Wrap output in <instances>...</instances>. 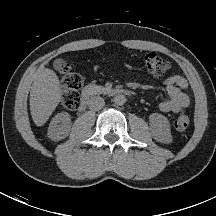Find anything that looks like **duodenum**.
<instances>
[{"label": "duodenum", "instance_id": "duodenum-1", "mask_svg": "<svg viewBox=\"0 0 216 216\" xmlns=\"http://www.w3.org/2000/svg\"><path fill=\"white\" fill-rule=\"evenodd\" d=\"M108 94L110 95H122V96H128L130 95V91L123 89V88H110L108 90ZM91 100V94L90 93H84L80 102V110H84L89 102Z\"/></svg>", "mask_w": 216, "mask_h": 216}]
</instances>
